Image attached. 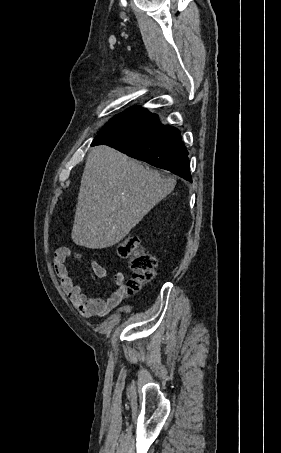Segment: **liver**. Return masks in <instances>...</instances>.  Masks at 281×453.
Listing matches in <instances>:
<instances>
[{
	"label": "liver",
	"mask_w": 281,
	"mask_h": 453,
	"mask_svg": "<svg viewBox=\"0 0 281 453\" xmlns=\"http://www.w3.org/2000/svg\"><path fill=\"white\" fill-rule=\"evenodd\" d=\"M175 184L115 148L94 146L81 176L73 243L87 249L116 245Z\"/></svg>",
	"instance_id": "1"
}]
</instances>
